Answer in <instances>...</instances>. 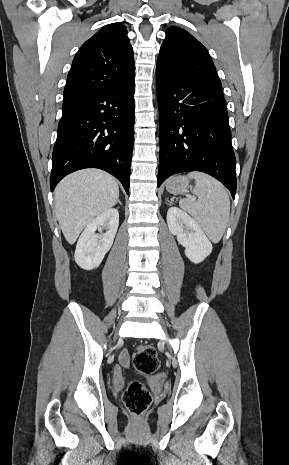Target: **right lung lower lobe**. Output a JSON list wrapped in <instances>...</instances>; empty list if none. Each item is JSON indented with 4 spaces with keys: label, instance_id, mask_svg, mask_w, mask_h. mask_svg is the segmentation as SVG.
<instances>
[{
    "label": "right lung lower lobe",
    "instance_id": "98d812e1",
    "mask_svg": "<svg viewBox=\"0 0 289 465\" xmlns=\"http://www.w3.org/2000/svg\"><path fill=\"white\" fill-rule=\"evenodd\" d=\"M134 79L135 75L124 85L83 98L62 116L52 155L51 191L67 174L99 168L114 175L129 193Z\"/></svg>",
    "mask_w": 289,
    "mask_h": 465
}]
</instances>
